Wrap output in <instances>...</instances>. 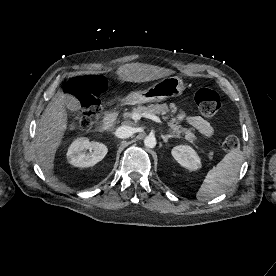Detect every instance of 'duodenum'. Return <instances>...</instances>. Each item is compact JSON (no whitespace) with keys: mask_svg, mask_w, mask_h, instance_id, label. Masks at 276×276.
<instances>
[{"mask_svg":"<svg viewBox=\"0 0 276 276\" xmlns=\"http://www.w3.org/2000/svg\"><path fill=\"white\" fill-rule=\"evenodd\" d=\"M120 109L121 107H116L106 113L104 120L99 124L97 128V131L99 133H105L111 129V127L116 122Z\"/></svg>","mask_w":276,"mask_h":276,"instance_id":"1","label":"duodenum"}]
</instances>
